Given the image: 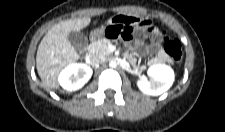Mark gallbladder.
I'll return each mask as SVG.
<instances>
[{
	"label": "gallbladder",
	"instance_id": "obj_1",
	"mask_svg": "<svg viewBox=\"0 0 225 132\" xmlns=\"http://www.w3.org/2000/svg\"><path fill=\"white\" fill-rule=\"evenodd\" d=\"M68 40L78 51L84 50L88 45L87 37L80 31H70L68 33Z\"/></svg>",
	"mask_w": 225,
	"mask_h": 132
}]
</instances>
